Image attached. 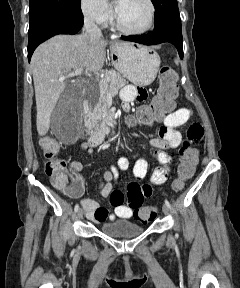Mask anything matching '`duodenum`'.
<instances>
[{
    "label": "duodenum",
    "instance_id": "duodenum-1",
    "mask_svg": "<svg viewBox=\"0 0 240 288\" xmlns=\"http://www.w3.org/2000/svg\"><path fill=\"white\" fill-rule=\"evenodd\" d=\"M84 113L89 127H95L96 130L90 138L91 145L99 144L106 134L109 133L110 127L116 120V113L114 110L109 109L100 115H93L89 111L88 104L83 103Z\"/></svg>",
    "mask_w": 240,
    "mask_h": 288
}]
</instances>
